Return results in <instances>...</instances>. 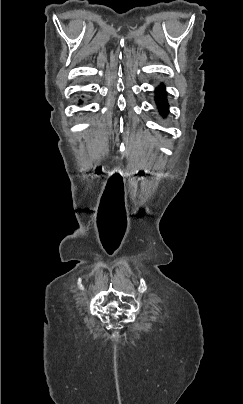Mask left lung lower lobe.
Returning <instances> with one entry per match:
<instances>
[{
	"label": "left lung lower lobe",
	"mask_w": 243,
	"mask_h": 404,
	"mask_svg": "<svg viewBox=\"0 0 243 404\" xmlns=\"http://www.w3.org/2000/svg\"><path fill=\"white\" fill-rule=\"evenodd\" d=\"M156 103L157 105L161 108L160 112L163 115L167 114V108H168V104H167V100L165 98V90L164 87L161 85L159 88L156 89Z\"/></svg>",
	"instance_id": "obj_1"
}]
</instances>
